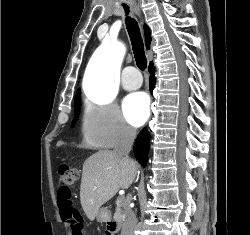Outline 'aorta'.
<instances>
[{
    "mask_svg": "<svg viewBox=\"0 0 250 235\" xmlns=\"http://www.w3.org/2000/svg\"><path fill=\"white\" fill-rule=\"evenodd\" d=\"M125 48L119 44L111 47L103 42L93 54L87 71V96L98 103H109L117 94L119 60Z\"/></svg>",
    "mask_w": 250,
    "mask_h": 235,
    "instance_id": "1",
    "label": "aorta"
}]
</instances>
